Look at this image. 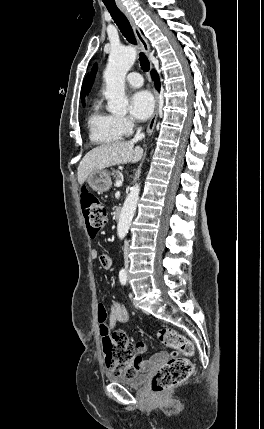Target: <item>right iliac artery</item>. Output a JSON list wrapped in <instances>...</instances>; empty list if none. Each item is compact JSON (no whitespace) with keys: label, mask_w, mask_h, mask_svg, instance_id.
I'll use <instances>...</instances> for the list:
<instances>
[{"label":"right iliac artery","mask_w":264,"mask_h":429,"mask_svg":"<svg viewBox=\"0 0 264 429\" xmlns=\"http://www.w3.org/2000/svg\"><path fill=\"white\" fill-rule=\"evenodd\" d=\"M119 280L121 282L122 285L126 284L127 281V273L124 269H121L119 272Z\"/></svg>","instance_id":"1"}]
</instances>
